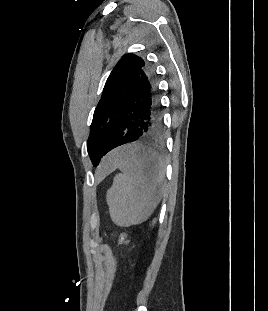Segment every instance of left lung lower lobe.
I'll return each mask as SVG.
<instances>
[{
    "label": "left lung lower lobe",
    "mask_w": 268,
    "mask_h": 311,
    "mask_svg": "<svg viewBox=\"0 0 268 311\" xmlns=\"http://www.w3.org/2000/svg\"><path fill=\"white\" fill-rule=\"evenodd\" d=\"M123 116V122L108 143L105 154L121 144L164 140L157 78L148 63L138 73Z\"/></svg>",
    "instance_id": "left-lung-lower-lobe-1"
}]
</instances>
